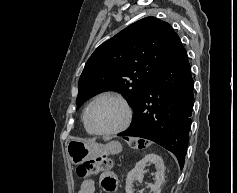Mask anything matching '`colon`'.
Returning <instances> with one entry per match:
<instances>
[{
    "label": "colon",
    "instance_id": "colon-1",
    "mask_svg": "<svg viewBox=\"0 0 237 193\" xmlns=\"http://www.w3.org/2000/svg\"><path fill=\"white\" fill-rule=\"evenodd\" d=\"M128 142L132 143L135 147L143 146L142 141L138 139H131L128 140ZM112 166H113L112 159L108 156H104L96 160L86 162L83 165L79 166L77 169V173L79 177L87 178L90 175L98 173L100 171H108L112 168Z\"/></svg>",
    "mask_w": 237,
    "mask_h": 193
}]
</instances>
